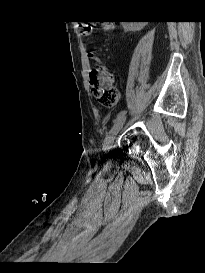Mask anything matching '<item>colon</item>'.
Wrapping results in <instances>:
<instances>
[{"label":"colon","instance_id":"5ec220e1","mask_svg":"<svg viewBox=\"0 0 205 273\" xmlns=\"http://www.w3.org/2000/svg\"><path fill=\"white\" fill-rule=\"evenodd\" d=\"M106 27L112 24L111 20H105L103 23ZM81 30L84 34L90 33L92 26L89 24H81ZM96 65L90 72V89L94 99L104 107L115 105L120 98V92L115 85L112 74L104 67L100 59L92 54Z\"/></svg>","mask_w":205,"mask_h":273}]
</instances>
